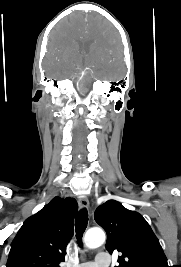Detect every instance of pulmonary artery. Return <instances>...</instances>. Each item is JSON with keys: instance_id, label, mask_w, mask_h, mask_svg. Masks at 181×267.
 Segmentation results:
<instances>
[{"instance_id": "e3ab8cb5", "label": "pulmonary artery", "mask_w": 181, "mask_h": 267, "mask_svg": "<svg viewBox=\"0 0 181 267\" xmlns=\"http://www.w3.org/2000/svg\"><path fill=\"white\" fill-rule=\"evenodd\" d=\"M110 265V259L106 257L104 252H100L94 262H85L75 267H108Z\"/></svg>"}]
</instances>
